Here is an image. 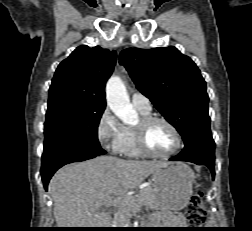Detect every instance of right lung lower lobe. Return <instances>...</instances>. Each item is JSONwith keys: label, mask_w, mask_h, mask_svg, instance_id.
<instances>
[{"label": "right lung lower lobe", "mask_w": 252, "mask_h": 231, "mask_svg": "<svg viewBox=\"0 0 252 231\" xmlns=\"http://www.w3.org/2000/svg\"><path fill=\"white\" fill-rule=\"evenodd\" d=\"M101 147L87 144L66 143L43 152L41 176L47 190L48 182L60 167L72 162H80L105 154Z\"/></svg>", "instance_id": "1"}]
</instances>
